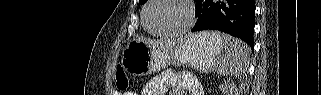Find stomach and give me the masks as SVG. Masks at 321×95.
<instances>
[{
	"label": "stomach",
	"instance_id": "obj_1",
	"mask_svg": "<svg viewBox=\"0 0 321 95\" xmlns=\"http://www.w3.org/2000/svg\"><path fill=\"white\" fill-rule=\"evenodd\" d=\"M223 46L220 40L206 32L193 34L171 49H160L141 39H133L125 46L121 64L133 76L158 72L170 64L186 65L200 72L216 68Z\"/></svg>",
	"mask_w": 321,
	"mask_h": 95
}]
</instances>
